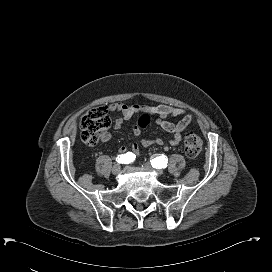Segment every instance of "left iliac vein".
I'll return each mask as SVG.
<instances>
[{"label": "left iliac vein", "instance_id": "obj_1", "mask_svg": "<svg viewBox=\"0 0 272 272\" xmlns=\"http://www.w3.org/2000/svg\"><path fill=\"white\" fill-rule=\"evenodd\" d=\"M144 167L147 168V169H152V166H151L149 163H145V164H144ZM155 170H156V172H157L159 175H162V174H163V170H162V169L156 168Z\"/></svg>", "mask_w": 272, "mask_h": 272}]
</instances>
